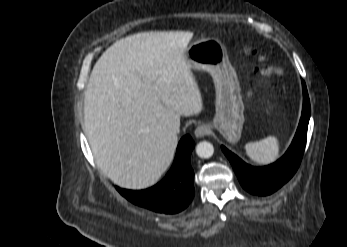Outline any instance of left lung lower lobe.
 Returning <instances> with one entry per match:
<instances>
[{
	"label": "left lung lower lobe",
	"instance_id": "obj_1",
	"mask_svg": "<svg viewBox=\"0 0 347 247\" xmlns=\"http://www.w3.org/2000/svg\"><path fill=\"white\" fill-rule=\"evenodd\" d=\"M302 86L304 99L300 123L290 147L278 161L264 167H252L222 146L240 184L252 194L265 196L277 191L291 179L301 163L310 118V101L304 81Z\"/></svg>",
	"mask_w": 347,
	"mask_h": 247
}]
</instances>
